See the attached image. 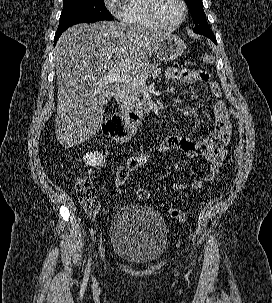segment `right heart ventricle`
Masks as SVG:
<instances>
[{"mask_svg": "<svg viewBox=\"0 0 272 303\" xmlns=\"http://www.w3.org/2000/svg\"><path fill=\"white\" fill-rule=\"evenodd\" d=\"M149 0H126L121 18L130 26L142 28H156L148 14Z\"/></svg>", "mask_w": 272, "mask_h": 303, "instance_id": "obj_1", "label": "right heart ventricle"}]
</instances>
